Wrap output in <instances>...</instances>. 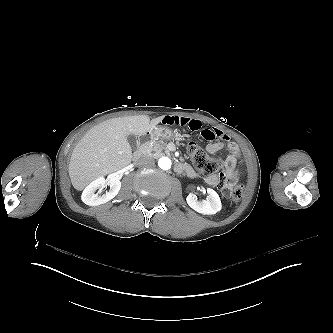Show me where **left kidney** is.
I'll return each mask as SVG.
<instances>
[{
	"mask_svg": "<svg viewBox=\"0 0 333 333\" xmlns=\"http://www.w3.org/2000/svg\"><path fill=\"white\" fill-rule=\"evenodd\" d=\"M207 193L210 196L209 201L208 200L198 201L195 197L189 195L186 199L187 204L189 205V207H191L194 211L198 213L205 215H214L217 212H219L222 208L221 200L218 193L215 190L208 188Z\"/></svg>",
	"mask_w": 333,
	"mask_h": 333,
	"instance_id": "1",
	"label": "left kidney"
}]
</instances>
